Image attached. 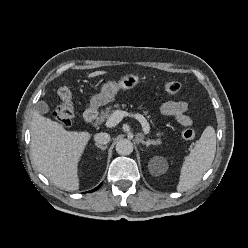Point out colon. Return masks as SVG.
Segmentation results:
<instances>
[{"label":"colon","mask_w":248,"mask_h":248,"mask_svg":"<svg viewBox=\"0 0 248 248\" xmlns=\"http://www.w3.org/2000/svg\"><path fill=\"white\" fill-rule=\"evenodd\" d=\"M167 94H176L181 89V84L178 81H168L163 86ZM60 104L54 111L55 120L63 127H69L74 117L72 92L68 86H61L58 90ZM182 137L185 140H193L196 137V132L192 127H187L182 132Z\"/></svg>","instance_id":"1"}]
</instances>
